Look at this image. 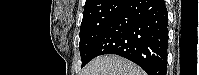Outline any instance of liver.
<instances>
[{"instance_id":"6515ba94","label":"liver","mask_w":199,"mask_h":75,"mask_svg":"<svg viewBox=\"0 0 199 75\" xmlns=\"http://www.w3.org/2000/svg\"><path fill=\"white\" fill-rule=\"evenodd\" d=\"M81 75H146L133 62L117 55L99 56L90 61Z\"/></svg>"}]
</instances>
